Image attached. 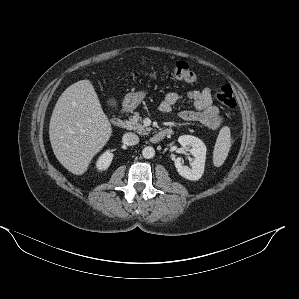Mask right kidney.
<instances>
[{
    "instance_id": "right-kidney-1",
    "label": "right kidney",
    "mask_w": 299,
    "mask_h": 299,
    "mask_svg": "<svg viewBox=\"0 0 299 299\" xmlns=\"http://www.w3.org/2000/svg\"><path fill=\"white\" fill-rule=\"evenodd\" d=\"M112 159L113 154L108 150L99 157L96 167L100 171L106 170L110 166Z\"/></svg>"
}]
</instances>
